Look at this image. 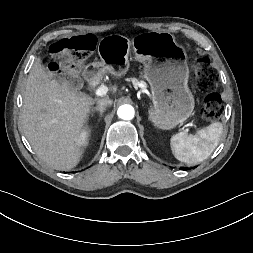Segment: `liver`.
Here are the masks:
<instances>
[{"mask_svg":"<svg viewBox=\"0 0 253 253\" xmlns=\"http://www.w3.org/2000/svg\"><path fill=\"white\" fill-rule=\"evenodd\" d=\"M95 100L50 79L39 62L32 66L23 95L21 124L37 157L56 170L76 167L87 145L85 125Z\"/></svg>","mask_w":253,"mask_h":253,"instance_id":"obj_1","label":"liver"}]
</instances>
